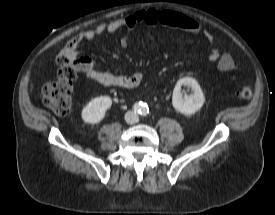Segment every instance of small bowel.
<instances>
[{
  "label": "small bowel",
  "mask_w": 275,
  "mask_h": 215,
  "mask_svg": "<svg viewBox=\"0 0 275 215\" xmlns=\"http://www.w3.org/2000/svg\"><path fill=\"white\" fill-rule=\"evenodd\" d=\"M138 24L169 26L197 35L209 50V59L216 62L219 71L228 72L234 67L232 57L227 53L219 51L215 47L213 36L207 30L203 29L198 21L173 10L158 9L138 11L124 18L99 24L93 29L75 35L60 52L59 59H65L77 73L101 85L134 88L143 81L142 73L135 72L131 75H116L102 71L91 57L79 54V46L81 43L91 41L102 34L114 33L120 29H124L126 33L121 38V46L126 47L128 43V33Z\"/></svg>",
  "instance_id": "c3829d8e"
}]
</instances>
